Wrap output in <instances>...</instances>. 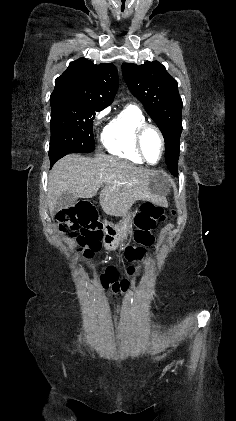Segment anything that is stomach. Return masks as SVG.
<instances>
[{
    "label": "stomach",
    "mask_w": 236,
    "mask_h": 421,
    "mask_svg": "<svg viewBox=\"0 0 236 421\" xmlns=\"http://www.w3.org/2000/svg\"><path fill=\"white\" fill-rule=\"evenodd\" d=\"M149 182L152 194H158V196L164 198L165 186L162 172L160 170L152 172ZM134 215L135 213H127L118 225L108 223V231L104 235V247L107 251H115L123 241H126L128 235H131Z\"/></svg>",
    "instance_id": "0dacf381"
}]
</instances>
